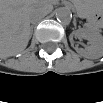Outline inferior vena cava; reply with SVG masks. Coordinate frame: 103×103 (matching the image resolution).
<instances>
[{
    "label": "inferior vena cava",
    "mask_w": 103,
    "mask_h": 103,
    "mask_svg": "<svg viewBox=\"0 0 103 103\" xmlns=\"http://www.w3.org/2000/svg\"><path fill=\"white\" fill-rule=\"evenodd\" d=\"M44 16H45V13L42 11L33 12L30 15V21L34 22V21L41 20Z\"/></svg>",
    "instance_id": "602c4592"
}]
</instances>
